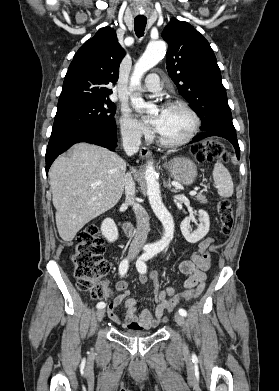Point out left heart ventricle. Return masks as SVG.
I'll use <instances>...</instances> for the list:
<instances>
[{"label":"left heart ventricle","mask_w":279,"mask_h":391,"mask_svg":"<svg viewBox=\"0 0 279 391\" xmlns=\"http://www.w3.org/2000/svg\"><path fill=\"white\" fill-rule=\"evenodd\" d=\"M153 122L157 131L171 141L184 138L192 127L191 116L180 107L164 109L161 115L154 116Z\"/></svg>","instance_id":"left-heart-ventricle-1"}]
</instances>
